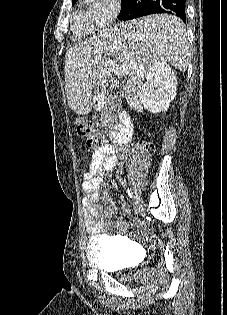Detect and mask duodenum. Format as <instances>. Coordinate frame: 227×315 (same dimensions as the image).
Returning <instances> with one entry per match:
<instances>
[{"mask_svg":"<svg viewBox=\"0 0 227 315\" xmlns=\"http://www.w3.org/2000/svg\"><path fill=\"white\" fill-rule=\"evenodd\" d=\"M133 126L130 114L125 110H119L117 122L111 133L114 143L118 145L127 144L132 136Z\"/></svg>","mask_w":227,"mask_h":315,"instance_id":"obj_1","label":"duodenum"}]
</instances>
